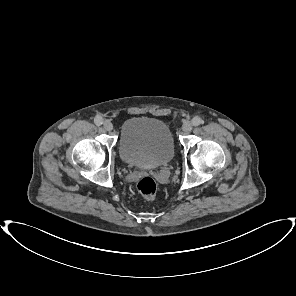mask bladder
Listing matches in <instances>:
<instances>
[{
	"label": "bladder",
	"instance_id": "obj_1",
	"mask_svg": "<svg viewBox=\"0 0 296 296\" xmlns=\"http://www.w3.org/2000/svg\"><path fill=\"white\" fill-rule=\"evenodd\" d=\"M118 150L126 164L154 169L168 164L174 155V141L168 125L162 120L134 117L120 130Z\"/></svg>",
	"mask_w": 296,
	"mask_h": 296
}]
</instances>
